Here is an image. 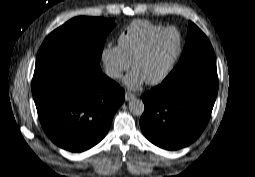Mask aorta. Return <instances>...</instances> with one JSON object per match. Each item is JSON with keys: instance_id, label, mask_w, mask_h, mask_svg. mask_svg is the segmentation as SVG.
<instances>
[{"instance_id": "aorta-1", "label": "aorta", "mask_w": 255, "mask_h": 177, "mask_svg": "<svg viewBox=\"0 0 255 177\" xmlns=\"http://www.w3.org/2000/svg\"><path fill=\"white\" fill-rule=\"evenodd\" d=\"M129 111L134 115V116H141L144 113V103L140 99H131L128 105Z\"/></svg>"}]
</instances>
